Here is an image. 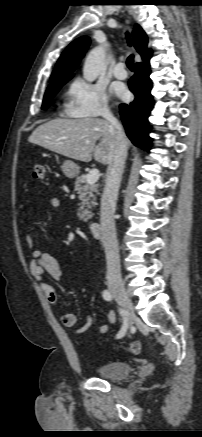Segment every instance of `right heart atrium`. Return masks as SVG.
I'll return each instance as SVG.
<instances>
[{"mask_svg": "<svg viewBox=\"0 0 202 437\" xmlns=\"http://www.w3.org/2000/svg\"><path fill=\"white\" fill-rule=\"evenodd\" d=\"M65 111L72 117L98 118L109 114V97L104 87L76 79L69 87Z\"/></svg>", "mask_w": 202, "mask_h": 437, "instance_id": "right-heart-atrium-1", "label": "right heart atrium"}]
</instances>
